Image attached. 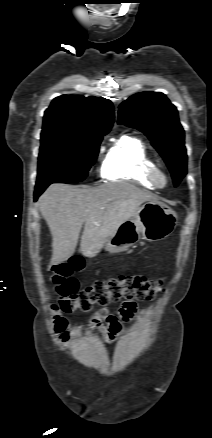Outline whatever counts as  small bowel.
I'll use <instances>...</instances> for the list:
<instances>
[{
	"label": "small bowel",
	"mask_w": 212,
	"mask_h": 438,
	"mask_svg": "<svg viewBox=\"0 0 212 438\" xmlns=\"http://www.w3.org/2000/svg\"><path fill=\"white\" fill-rule=\"evenodd\" d=\"M136 311V304L127 300L122 303L116 314H110L105 310L100 311L93 316L91 323L102 331L107 342H112L122 333L123 323L134 319ZM143 314L154 316V312L151 310H146ZM63 338L66 340L67 335H64Z\"/></svg>",
	"instance_id": "c3829d8e"
}]
</instances>
